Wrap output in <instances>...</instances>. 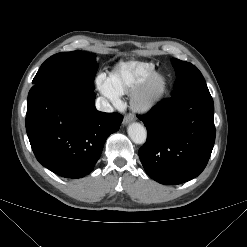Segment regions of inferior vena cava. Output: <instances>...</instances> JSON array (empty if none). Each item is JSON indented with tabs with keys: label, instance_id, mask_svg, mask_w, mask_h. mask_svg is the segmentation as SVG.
<instances>
[{
	"label": "inferior vena cava",
	"instance_id": "obj_1",
	"mask_svg": "<svg viewBox=\"0 0 247 247\" xmlns=\"http://www.w3.org/2000/svg\"><path fill=\"white\" fill-rule=\"evenodd\" d=\"M95 106L98 110L103 111V112L110 113L114 111L113 107L104 97L97 98Z\"/></svg>",
	"mask_w": 247,
	"mask_h": 247
}]
</instances>
